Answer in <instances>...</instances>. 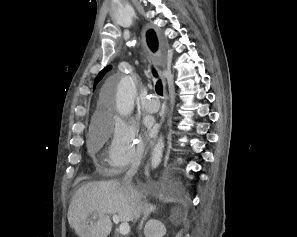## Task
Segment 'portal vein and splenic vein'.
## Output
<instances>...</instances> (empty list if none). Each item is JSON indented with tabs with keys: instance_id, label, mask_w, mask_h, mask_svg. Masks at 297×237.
Here are the masks:
<instances>
[{
	"instance_id": "obj_1",
	"label": "portal vein and splenic vein",
	"mask_w": 297,
	"mask_h": 237,
	"mask_svg": "<svg viewBox=\"0 0 297 237\" xmlns=\"http://www.w3.org/2000/svg\"><path fill=\"white\" fill-rule=\"evenodd\" d=\"M112 219L115 224L119 223V218L116 214H113ZM129 232H130L129 224L127 222L121 223L119 226V233L123 236H126L127 234H129Z\"/></svg>"
}]
</instances>
